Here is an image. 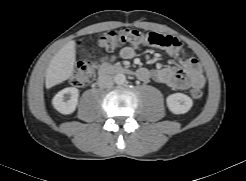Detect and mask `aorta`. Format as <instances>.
<instances>
[{"label":"aorta","instance_id":"obj_1","mask_svg":"<svg viewBox=\"0 0 246 181\" xmlns=\"http://www.w3.org/2000/svg\"><path fill=\"white\" fill-rule=\"evenodd\" d=\"M114 82L118 85H122L126 82V76L122 73H118L114 76Z\"/></svg>","mask_w":246,"mask_h":181}]
</instances>
